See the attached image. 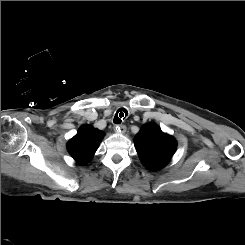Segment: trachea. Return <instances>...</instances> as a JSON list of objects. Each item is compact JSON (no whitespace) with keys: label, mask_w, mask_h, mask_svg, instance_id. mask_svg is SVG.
Wrapping results in <instances>:
<instances>
[{"label":"trachea","mask_w":245,"mask_h":245,"mask_svg":"<svg viewBox=\"0 0 245 245\" xmlns=\"http://www.w3.org/2000/svg\"><path fill=\"white\" fill-rule=\"evenodd\" d=\"M128 116V111L125 108H120L117 110L113 122L120 124Z\"/></svg>","instance_id":"trachea-1"}]
</instances>
